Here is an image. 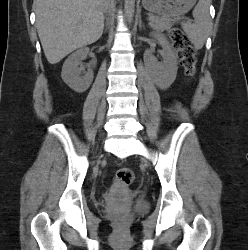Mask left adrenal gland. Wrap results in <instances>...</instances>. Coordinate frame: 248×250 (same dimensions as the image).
Segmentation results:
<instances>
[{
    "instance_id": "left-adrenal-gland-1",
    "label": "left adrenal gland",
    "mask_w": 248,
    "mask_h": 250,
    "mask_svg": "<svg viewBox=\"0 0 248 250\" xmlns=\"http://www.w3.org/2000/svg\"><path fill=\"white\" fill-rule=\"evenodd\" d=\"M139 28L140 29H142V28L144 29V26L142 25V21L141 20L139 21Z\"/></svg>"
}]
</instances>
